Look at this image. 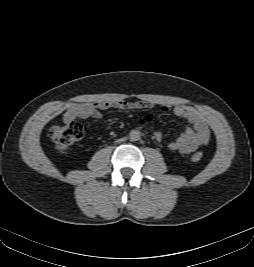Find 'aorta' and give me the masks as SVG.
I'll return each mask as SVG.
<instances>
[{
    "label": "aorta",
    "mask_w": 254,
    "mask_h": 267,
    "mask_svg": "<svg viewBox=\"0 0 254 267\" xmlns=\"http://www.w3.org/2000/svg\"><path fill=\"white\" fill-rule=\"evenodd\" d=\"M131 141H138L140 139V132L138 130H132L129 133Z\"/></svg>",
    "instance_id": "1"
}]
</instances>
